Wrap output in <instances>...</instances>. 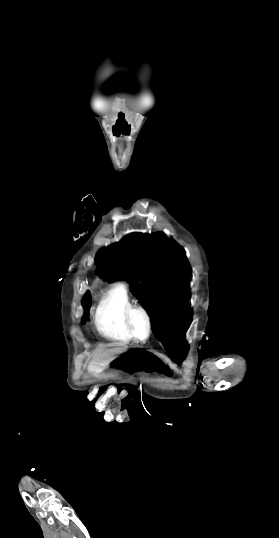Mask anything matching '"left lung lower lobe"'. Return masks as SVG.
<instances>
[{"label":"left lung lower lobe","instance_id":"1","mask_svg":"<svg viewBox=\"0 0 279 538\" xmlns=\"http://www.w3.org/2000/svg\"><path fill=\"white\" fill-rule=\"evenodd\" d=\"M154 335L162 342L166 350L170 351L169 356L174 362L181 363L184 360L188 350V346L184 341L185 335L173 331Z\"/></svg>","mask_w":279,"mask_h":538}]
</instances>
